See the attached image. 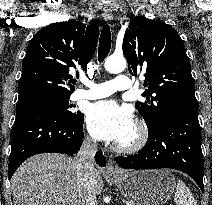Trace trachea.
<instances>
[{
  "instance_id": "3493384b",
  "label": "trachea",
  "mask_w": 212,
  "mask_h": 205,
  "mask_svg": "<svg viewBox=\"0 0 212 205\" xmlns=\"http://www.w3.org/2000/svg\"><path fill=\"white\" fill-rule=\"evenodd\" d=\"M111 48V31L109 25H104L99 39L98 60L103 62Z\"/></svg>"
}]
</instances>
